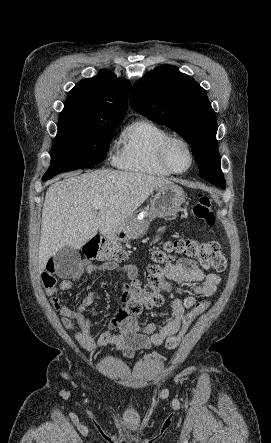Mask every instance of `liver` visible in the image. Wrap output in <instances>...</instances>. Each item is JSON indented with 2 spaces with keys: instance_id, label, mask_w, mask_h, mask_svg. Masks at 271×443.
I'll return each instance as SVG.
<instances>
[{
  "instance_id": "6515ba94",
  "label": "liver",
  "mask_w": 271,
  "mask_h": 443,
  "mask_svg": "<svg viewBox=\"0 0 271 443\" xmlns=\"http://www.w3.org/2000/svg\"><path fill=\"white\" fill-rule=\"evenodd\" d=\"M60 178L62 182L49 186L43 204L37 253L40 271L66 245L81 249L97 231L102 235L120 231L156 188L172 184L165 178L105 168ZM96 202H104L99 212L94 210Z\"/></svg>"
}]
</instances>
